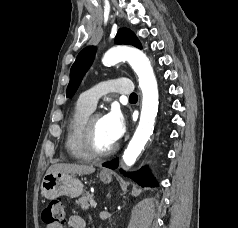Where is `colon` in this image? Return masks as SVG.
I'll use <instances>...</instances> for the list:
<instances>
[{"label":"colon","mask_w":238,"mask_h":228,"mask_svg":"<svg viewBox=\"0 0 238 228\" xmlns=\"http://www.w3.org/2000/svg\"><path fill=\"white\" fill-rule=\"evenodd\" d=\"M42 220L46 225L63 224L65 221V210L59 200L51 201L42 211Z\"/></svg>","instance_id":"obj_1"}]
</instances>
